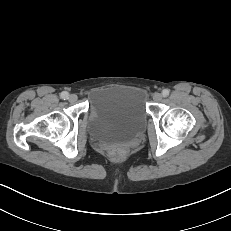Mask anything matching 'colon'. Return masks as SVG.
Instances as JSON below:
<instances>
[{
	"mask_svg": "<svg viewBox=\"0 0 231 231\" xmlns=\"http://www.w3.org/2000/svg\"><path fill=\"white\" fill-rule=\"evenodd\" d=\"M108 152L115 158H121L126 154L127 148L121 144H114L108 147Z\"/></svg>",
	"mask_w": 231,
	"mask_h": 231,
	"instance_id": "colon-1",
	"label": "colon"
}]
</instances>
